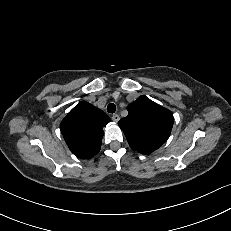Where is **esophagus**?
<instances>
[{
    "mask_svg": "<svg viewBox=\"0 0 231 231\" xmlns=\"http://www.w3.org/2000/svg\"><path fill=\"white\" fill-rule=\"evenodd\" d=\"M111 118L114 122H118L120 119V116L118 114H113Z\"/></svg>",
    "mask_w": 231,
    "mask_h": 231,
    "instance_id": "34e87169",
    "label": "esophagus"
}]
</instances>
